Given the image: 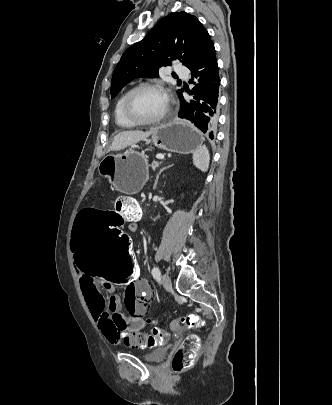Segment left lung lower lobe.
Masks as SVG:
<instances>
[{"instance_id":"1","label":"left lung lower lobe","mask_w":332,"mask_h":405,"mask_svg":"<svg viewBox=\"0 0 332 405\" xmlns=\"http://www.w3.org/2000/svg\"><path fill=\"white\" fill-rule=\"evenodd\" d=\"M197 84L193 88L194 99L186 102L182 90L180 97L179 117L190 120L211 139L218 121V97L220 77L216 60L215 48L212 43L200 59L190 68ZM195 84V82L192 81ZM190 94L192 92H189Z\"/></svg>"}]
</instances>
